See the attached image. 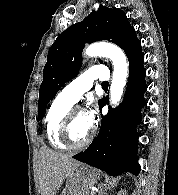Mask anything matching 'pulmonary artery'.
I'll return each mask as SVG.
<instances>
[{
	"label": "pulmonary artery",
	"instance_id": "pulmonary-artery-1",
	"mask_svg": "<svg viewBox=\"0 0 178 195\" xmlns=\"http://www.w3.org/2000/svg\"><path fill=\"white\" fill-rule=\"evenodd\" d=\"M109 77L108 68L104 65H96L79 75L77 78L69 82L60 92V94L72 102L76 103L80 97L87 92L93 85L95 80L103 83L107 82Z\"/></svg>",
	"mask_w": 178,
	"mask_h": 195
}]
</instances>
